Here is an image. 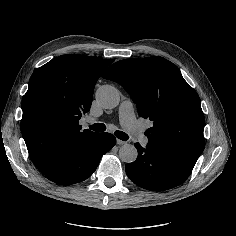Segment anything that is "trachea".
<instances>
[{"label": "trachea", "mask_w": 236, "mask_h": 236, "mask_svg": "<svg viewBox=\"0 0 236 236\" xmlns=\"http://www.w3.org/2000/svg\"><path fill=\"white\" fill-rule=\"evenodd\" d=\"M89 128L93 131H96V132H103L106 130V125H104L103 123H95L93 125H90ZM114 134L117 138H119L120 140H123V141H126L129 138L125 132H122L119 130H116L114 132Z\"/></svg>", "instance_id": "trachea-1"}]
</instances>
